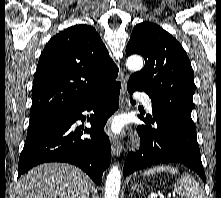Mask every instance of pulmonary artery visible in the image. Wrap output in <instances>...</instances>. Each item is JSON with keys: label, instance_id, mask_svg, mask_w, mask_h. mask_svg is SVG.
<instances>
[{"label": "pulmonary artery", "instance_id": "1", "mask_svg": "<svg viewBox=\"0 0 221 198\" xmlns=\"http://www.w3.org/2000/svg\"><path fill=\"white\" fill-rule=\"evenodd\" d=\"M136 97L145 104L148 110L152 109V101H151V98L147 94L143 92H137Z\"/></svg>", "mask_w": 221, "mask_h": 198}]
</instances>
